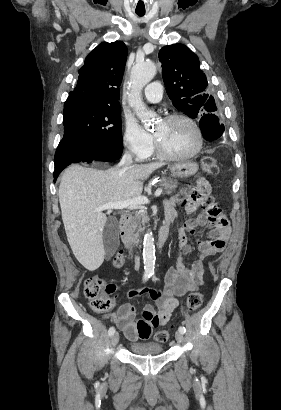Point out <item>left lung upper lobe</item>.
I'll use <instances>...</instances> for the list:
<instances>
[{
    "label": "left lung upper lobe",
    "instance_id": "1",
    "mask_svg": "<svg viewBox=\"0 0 281 410\" xmlns=\"http://www.w3.org/2000/svg\"><path fill=\"white\" fill-rule=\"evenodd\" d=\"M159 61L168 96L178 110L192 118H200L206 112L214 115L217 107L208 94L207 78L196 54L183 44H174L159 51Z\"/></svg>",
    "mask_w": 281,
    "mask_h": 410
}]
</instances>
